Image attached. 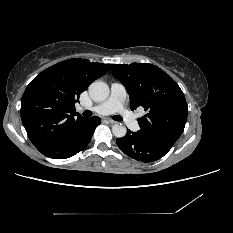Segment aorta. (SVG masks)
I'll return each instance as SVG.
<instances>
[{"mask_svg": "<svg viewBox=\"0 0 233 233\" xmlns=\"http://www.w3.org/2000/svg\"><path fill=\"white\" fill-rule=\"evenodd\" d=\"M89 94L94 101H104L109 96V87L105 82L94 81L89 86ZM112 132L117 138H122L126 135L127 129L121 124H115L112 127Z\"/></svg>", "mask_w": 233, "mask_h": 233, "instance_id": "aorta-1", "label": "aorta"}]
</instances>
